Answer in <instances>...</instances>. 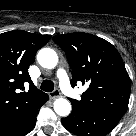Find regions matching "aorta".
Listing matches in <instances>:
<instances>
[{"label": "aorta", "mask_w": 136, "mask_h": 136, "mask_svg": "<svg viewBox=\"0 0 136 136\" xmlns=\"http://www.w3.org/2000/svg\"><path fill=\"white\" fill-rule=\"evenodd\" d=\"M37 60L42 67L52 69L58 63V56L53 49L42 48L37 54ZM54 111L59 116H67L71 112V104L67 99L58 98L54 101Z\"/></svg>", "instance_id": "obj_1"}]
</instances>
